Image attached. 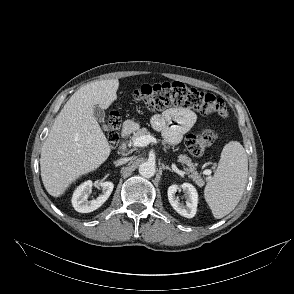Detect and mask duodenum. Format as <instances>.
<instances>
[{"instance_id": "1", "label": "duodenum", "mask_w": 294, "mask_h": 294, "mask_svg": "<svg viewBox=\"0 0 294 294\" xmlns=\"http://www.w3.org/2000/svg\"><path fill=\"white\" fill-rule=\"evenodd\" d=\"M134 128H135L134 122L131 120H126L122 125V130H121L122 138L126 139L128 136H130L132 134V132L134 131ZM119 152L122 155L126 154L127 153L126 146H124V145L120 146Z\"/></svg>"}]
</instances>
